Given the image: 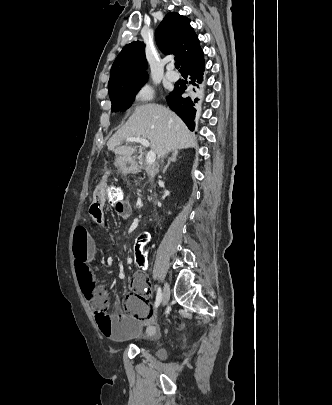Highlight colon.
I'll return each mask as SVG.
<instances>
[{
	"label": "colon",
	"instance_id": "5ec220e1",
	"mask_svg": "<svg viewBox=\"0 0 332 405\" xmlns=\"http://www.w3.org/2000/svg\"><path fill=\"white\" fill-rule=\"evenodd\" d=\"M107 184V183H106ZM108 185V184H107ZM123 185L122 184H113V185H108V192H109V197L106 199V204L108 208H113L115 212H120L115 209V204L117 202H121L122 199L127 198V196L123 193ZM138 243L136 244V249L139 252V258H135L133 262V269L134 270H139L141 273H144L146 271V245L150 243V238L148 236H139L138 237ZM86 294L88 292H85ZM94 293L96 296V299L94 302H92V305L95 309V311H108L109 310V298L107 296V293L103 291L102 289H98V292H91ZM93 318V317H92ZM94 321V320H93Z\"/></svg>",
	"mask_w": 332,
	"mask_h": 405
}]
</instances>
